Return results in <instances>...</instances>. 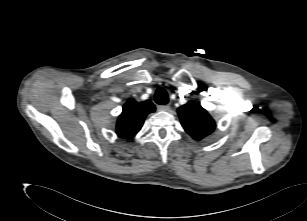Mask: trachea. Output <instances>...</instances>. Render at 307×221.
Returning a JSON list of instances; mask_svg holds the SVG:
<instances>
[{
    "label": "trachea",
    "mask_w": 307,
    "mask_h": 221,
    "mask_svg": "<svg viewBox=\"0 0 307 221\" xmlns=\"http://www.w3.org/2000/svg\"><path fill=\"white\" fill-rule=\"evenodd\" d=\"M155 102L159 105H165L169 102L168 94L163 87H160L156 90Z\"/></svg>",
    "instance_id": "1"
}]
</instances>
